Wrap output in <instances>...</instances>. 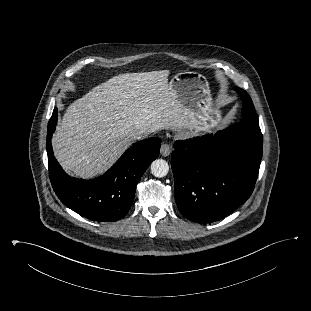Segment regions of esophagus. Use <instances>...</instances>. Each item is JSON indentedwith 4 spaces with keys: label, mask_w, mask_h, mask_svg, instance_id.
<instances>
[{
    "label": "esophagus",
    "mask_w": 311,
    "mask_h": 311,
    "mask_svg": "<svg viewBox=\"0 0 311 311\" xmlns=\"http://www.w3.org/2000/svg\"><path fill=\"white\" fill-rule=\"evenodd\" d=\"M171 153V147L167 143H163L160 148V154L164 157L169 156Z\"/></svg>",
    "instance_id": "obj_1"
}]
</instances>
